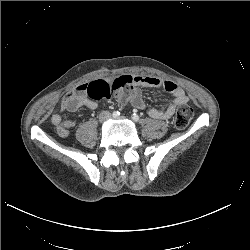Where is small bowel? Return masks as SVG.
Wrapping results in <instances>:
<instances>
[{
  "label": "small bowel",
  "instance_id": "obj_1",
  "mask_svg": "<svg viewBox=\"0 0 250 250\" xmlns=\"http://www.w3.org/2000/svg\"><path fill=\"white\" fill-rule=\"evenodd\" d=\"M114 88L113 96L121 103L130 102L138 109H144L145 103L142 98L141 88H163L173 96V102L165 108H151L148 114L151 118L164 120L171 118L177 106L186 104L188 96L184 90L176 83L169 80H161L152 76L143 75H120L113 78L105 79ZM88 84L80 85L73 94L72 100L65 103V109L73 112L79 107L85 106L88 109L94 110L97 108V102L88 97L86 87ZM51 122L55 126L60 137H67L71 129L74 127V122L65 120L60 114H54L51 117Z\"/></svg>",
  "mask_w": 250,
  "mask_h": 250
}]
</instances>
